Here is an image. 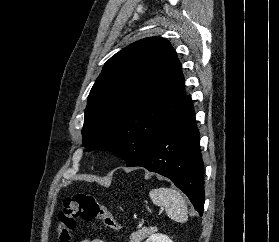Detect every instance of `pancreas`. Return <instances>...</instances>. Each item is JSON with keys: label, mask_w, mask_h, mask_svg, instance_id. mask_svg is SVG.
I'll list each match as a JSON object with an SVG mask.
<instances>
[{"label": "pancreas", "mask_w": 279, "mask_h": 242, "mask_svg": "<svg viewBox=\"0 0 279 242\" xmlns=\"http://www.w3.org/2000/svg\"><path fill=\"white\" fill-rule=\"evenodd\" d=\"M152 230L148 228H143L135 233H132L130 235V241L129 242H141L144 240L149 234H151Z\"/></svg>", "instance_id": "pancreas-1"}]
</instances>
